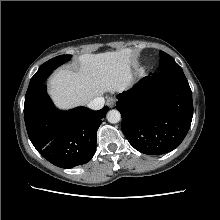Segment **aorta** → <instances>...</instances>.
Instances as JSON below:
<instances>
[{"label": "aorta", "instance_id": "762f6f07", "mask_svg": "<svg viewBox=\"0 0 220 220\" xmlns=\"http://www.w3.org/2000/svg\"><path fill=\"white\" fill-rule=\"evenodd\" d=\"M107 120L109 123L115 124L118 123L121 120V114L118 110H110L107 113Z\"/></svg>", "mask_w": 220, "mask_h": 220}]
</instances>
